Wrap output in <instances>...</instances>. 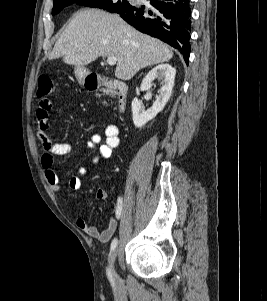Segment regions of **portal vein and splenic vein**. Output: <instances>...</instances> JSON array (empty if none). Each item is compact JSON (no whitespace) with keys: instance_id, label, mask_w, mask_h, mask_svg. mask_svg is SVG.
<instances>
[{"instance_id":"portal-vein-and-splenic-vein-1","label":"portal vein and splenic vein","mask_w":267,"mask_h":301,"mask_svg":"<svg viewBox=\"0 0 267 301\" xmlns=\"http://www.w3.org/2000/svg\"><path fill=\"white\" fill-rule=\"evenodd\" d=\"M116 62H117V59H116V57H114V56H110V57L107 58V63H108L109 65H111V66L115 65Z\"/></svg>"}]
</instances>
